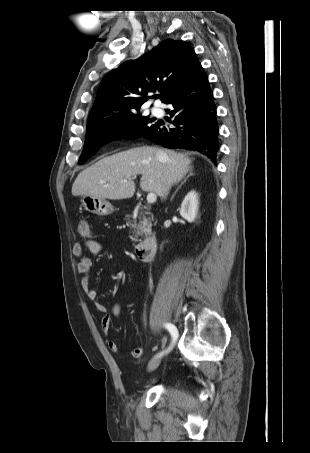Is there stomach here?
<instances>
[{"instance_id":"0dacf381","label":"stomach","mask_w":310,"mask_h":453,"mask_svg":"<svg viewBox=\"0 0 310 453\" xmlns=\"http://www.w3.org/2000/svg\"><path fill=\"white\" fill-rule=\"evenodd\" d=\"M81 202L85 210L98 216L110 215L114 211L113 206L106 199L84 195Z\"/></svg>"}]
</instances>
